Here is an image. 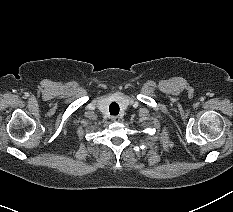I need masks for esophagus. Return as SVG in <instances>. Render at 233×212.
<instances>
[{
	"label": "esophagus",
	"mask_w": 233,
	"mask_h": 212,
	"mask_svg": "<svg viewBox=\"0 0 233 212\" xmlns=\"http://www.w3.org/2000/svg\"><path fill=\"white\" fill-rule=\"evenodd\" d=\"M111 119H112V121L117 122L120 120V117L119 116H112Z\"/></svg>",
	"instance_id": "34e87169"
}]
</instances>
